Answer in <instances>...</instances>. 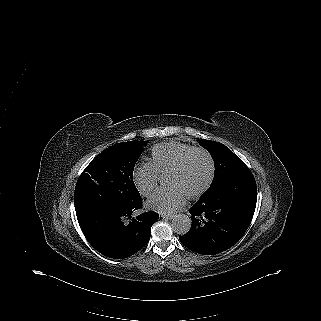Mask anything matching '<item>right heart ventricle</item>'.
Segmentation results:
<instances>
[{"label":"right heart ventricle","mask_w":321,"mask_h":321,"mask_svg":"<svg viewBox=\"0 0 321 321\" xmlns=\"http://www.w3.org/2000/svg\"><path fill=\"white\" fill-rule=\"evenodd\" d=\"M196 148L176 141L158 144L152 150V163L158 173L170 176Z\"/></svg>","instance_id":"1"}]
</instances>
